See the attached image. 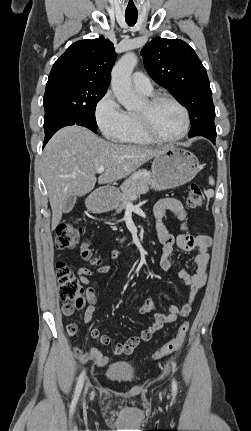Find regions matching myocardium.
<instances>
[{
    "instance_id": "obj_1",
    "label": "myocardium",
    "mask_w": 251,
    "mask_h": 431,
    "mask_svg": "<svg viewBox=\"0 0 251 431\" xmlns=\"http://www.w3.org/2000/svg\"><path fill=\"white\" fill-rule=\"evenodd\" d=\"M162 102H171L175 104L183 114V119H184L183 128L180 134L177 135L176 137L164 138L160 136L153 127L152 120H151V111ZM146 104L148 107L147 110L143 113H137V117L142 131L149 139L157 143L170 144V143L179 142L180 140L186 137L190 127V115H189L188 109L182 102H180L178 99L168 94H156L151 96L149 99H147Z\"/></svg>"
}]
</instances>
